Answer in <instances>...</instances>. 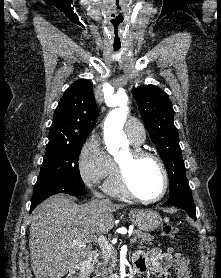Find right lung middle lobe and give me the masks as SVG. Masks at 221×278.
<instances>
[{
    "mask_svg": "<svg viewBox=\"0 0 221 278\" xmlns=\"http://www.w3.org/2000/svg\"><path fill=\"white\" fill-rule=\"evenodd\" d=\"M86 138L47 145L32 198L60 184L85 186L80 176L78 158Z\"/></svg>",
    "mask_w": 221,
    "mask_h": 278,
    "instance_id": "right-lung-middle-lobe-1",
    "label": "right lung middle lobe"
}]
</instances>
